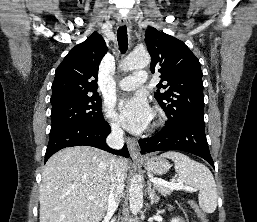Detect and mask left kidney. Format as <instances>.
Instances as JSON below:
<instances>
[{
  "label": "left kidney",
  "mask_w": 257,
  "mask_h": 222,
  "mask_svg": "<svg viewBox=\"0 0 257 222\" xmlns=\"http://www.w3.org/2000/svg\"><path fill=\"white\" fill-rule=\"evenodd\" d=\"M171 222H182V220L180 218H172Z\"/></svg>",
  "instance_id": "left-kidney-1"
}]
</instances>
